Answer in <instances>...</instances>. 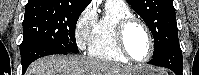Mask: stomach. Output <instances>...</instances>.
<instances>
[{"instance_id": "1", "label": "stomach", "mask_w": 199, "mask_h": 75, "mask_svg": "<svg viewBox=\"0 0 199 75\" xmlns=\"http://www.w3.org/2000/svg\"><path fill=\"white\" fill-rule=\"evenodd\" d=\"M131 75H164V73L158 72L154 67L141 66L137 68Z\"/></svg>"}]
</instances>
